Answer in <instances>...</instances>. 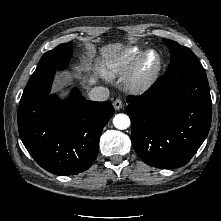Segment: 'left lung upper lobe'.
Returning <instances> with one entry per match:
<instances>
[{"label":"left lung upper lobe","mask_w":221,"mask_h":221,"mask_svg":"<svg viewBox=\"0 0 221 221\" xmlns=\"http://www.w3.org/2000/svg\"><path fill=\"white\" fill-rule=\"evenodd\" d=\"M163 42L169 48L171 54V62L166 72L172 71L184 63L198 62L197 57L189 48L168 39H163Z\"/></svg>","instance_id":"5c2ea615"}]
</instances>
